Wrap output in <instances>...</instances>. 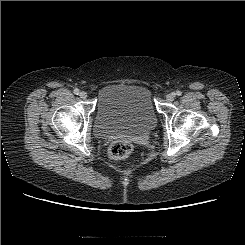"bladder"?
<instances>
[{
	"label": "bladder",
	"instance_id": "1",
	"mask_svg": "<svg viewBox=\"0 0 245 245\" xmlns=\"http://www.w3.org/2000/svg\"><path fill=\"white\" fill-rule=\"evenodd\" d=\"M156 124V110L148 87L114 83L99 90L94 123L97 136H142Z\"/></svg>",
	"mask_w": 245,
	"mask_h": 245
}]
</instances>
